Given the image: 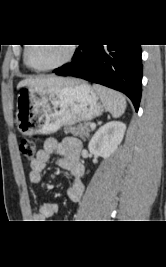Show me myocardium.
I'll return each mask as SVG.
<instances>
[{"instance_id": "1", "label": "myocardium", "mask_w": 166, "mask_h": 267, "mask_svg": "<svg viewBox=\"0 0 166 267\" xmlns=\"http://www.w3.org/2000/svg\"><path fill=\"white\" fill-rule=\"evenodd\" d=\"M32 45L33 44H28L25 47L24 53H23V59H24L26 66L35 72H48V71L58 69L64 65H66L67 63H69L75 54V47L72 44H67V46H66L67 47V54L62 61H60L59 63L52 65V66L37 68V67H33L32 65H30V63L28 61V52H29V49L32 47Z\"/></svg>"}]
</instances>
